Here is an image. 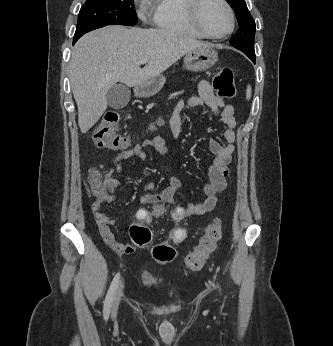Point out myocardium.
Wrapping results in <instances>:
<instances>
[{
  "mask_svg": "<svg viewBox=\"0 0 333 346\" xmlns=\"http://www.w3.org/2000/svg\"><path fill=\"white\" fill-rule=\"evenodd\" d=\"M218 1L221 2L225 6L230 18V27L223 34L217 35V34H213L209 32L202 23L201 10L203 5L207 2V0H187L188 14L194 27L203 36L213 38V39H224L230 36L235 29V25H236L235 14H234L233 8L231 7V5L229 4L227 0H218Z\"/></svg>",
  "mask_w": 333,
  "mask_h": 346,
  "instance_id": "f54148a6",
  "label": "myocardium"
}]
</instances>
